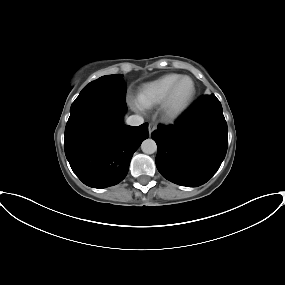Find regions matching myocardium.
I'll use <instances>...</instances> for the list:
<instances>
[{
	"instance_id": "myocardium-1",
	"label": "myocardium",
	"mask_w": 285,
	"mask_h": 285,
	"mask_svg": "<svg viewBox=\"0 0 285 285\" xmlns=\"http://www.w3.org/2000/svg\"><path fill=\"white\" fill-rule=\"evenodd\" d=\"M185 79H189L192 82L193 84L192 93L189 99L183 105L175 106L174 96H175L176 90L178 86L180 85V83ZM196 95H197V85H196L195 80L192 77L187 76V75L181 76L172 85V87L170 88V90L168 91L167 95L165 96L164 100L161 103V111H162L163 116L169 120H174V119L181 117L191 108V106L193 105L196 99Z\"/></svg>"
}]
</instances>
